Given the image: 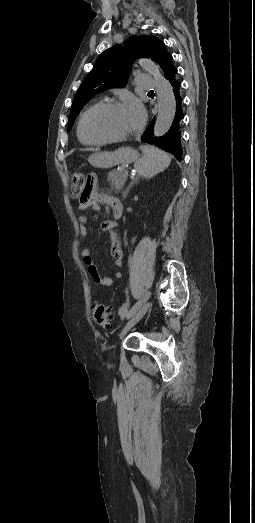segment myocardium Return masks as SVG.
Listing matches in <instances>:
<instances>
[{
  "label": "myocardium",
  "instance_id": "myocardium-1",
  "mask_svg": "<svg viewBox=\"0 0 255 523\" xmlns=\"http://www.w3.org/2000/svg\"><path fill=\"white\" fill-rule=\"evenodd\" d=\"M126 104H128L127 101H111V100H108V101H101V102L95 103L92 106H90L82 114V116L80 118L79 130H80V133H81L82 137L85 138L89 142L103 144V143H113V142L125 141V140L131 139V138L137 136V134L139 132V128H137L136 131L134 133H132V134L116 136V137H110V138H95V137H91L85 131V127H84L85 120H86V118L88 117V115L92 111H94V110H96L98 108L119 107V106H123V105H126Z\"/></svg>",
  "mask_w": 255,
  "mask_h": 523
}]
</instances>
